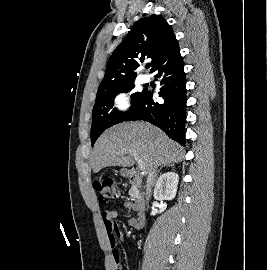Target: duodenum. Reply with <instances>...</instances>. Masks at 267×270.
Returning a JSON list of instances; mask_svg holds the SVG:
<instances>
[{
  "mask_svg": "<svg viewBox=\"0 0 267 270\" xmlns=\"http://www.w3.org/2000/svg\"><path fill=\"white\" fill-rule=\"evenodd\" d=\"M127 176H128L129 181L132 184H134L138 189H141L143 187V179L136 170L134 169L128 170ZM145 203H146V200L144 196L142 195V193H140V195L138 196L137 203H136L137 209L143 210V208L145 207Z\"/></svg>",
  "mask_w": 267,
  "mask_h": 270,
  "instance_id": "duodenum-1",
  "label": "duodenum"
}]
</instances>
